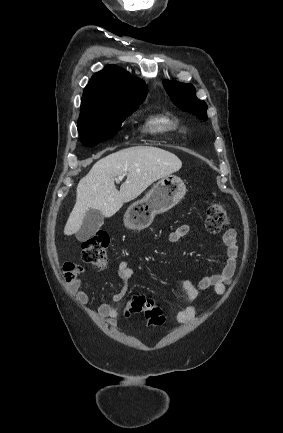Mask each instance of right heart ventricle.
Listing matches in <instances>:
<instances>
[{"label": "right heart ventricle", "instance_id": "right-heart-ventricle-1", "mask_svg": "<svg viewBox=\"0 0 283 433\" xmlns=\"http://www.w3.org/2000/svg\"><path fill=\"white\" fill-rule=\"evenodd\" d=\"M176 122L167 115H153L147 117L142 127L151 134L164 135L175 130Z\"/></svg>", "mask_w": 283, "mask_h": 433}]
</instances>
